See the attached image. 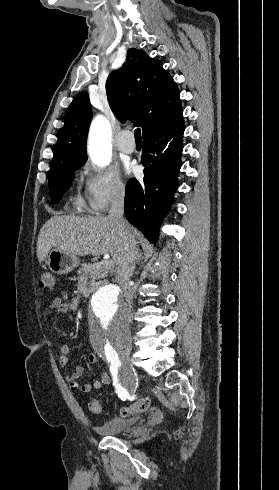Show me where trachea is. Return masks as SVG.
I'll use <instances>...</instances> for the list:
<instances>
[{
  "mask_svg": "<svg viewBox=\"0 0 279 490\" xmlns=\"http://www.w3.org/2000/svg\"><path fill=\"white\" fill-rule=\"evenodd\" d=\"M134 135H135V140H136V142H137V141H142V138H141V130H140V128H137V129L134 131Z\"/></svg>",
  "mask_w": 279,
  "mask_h": 490,
  "instance_id": "obj_1",
  "label": "trachea"
}]
</instances>
